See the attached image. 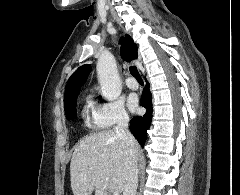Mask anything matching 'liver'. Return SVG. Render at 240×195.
I'll return each instance as SVG.
<instances>
[{"instance_id":"1","label":"liver","mask_w":240,"mask_h":195,"mask_svg":"<svg viewBox=\"0 0 240 195\" xmlns=\"http://www.w3.org/2000/svg\"><path fill=\"white\" fill-rule=\"evenodd\" d=\"M137 145V143H136ZM139 149L137 145L136 153ZM130 173V149L114 129L87 135L73 151L70 181L74 195L121 193Z\"/></svg>"}]
</instances>
